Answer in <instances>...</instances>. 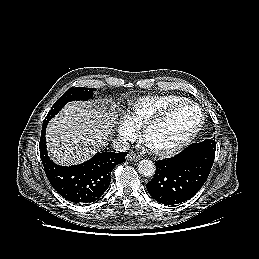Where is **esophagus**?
<instances>
[{
  "mask_svg": "<svg viewBox=\"0 0 259 259\" xmlns=\"http://www.w3.org/2000/svg\"><path fill=\"white\" fill-rule=\"evenodd\" d=\"M126 158L129 161H135V162H137L141 159V157L136 155L134 152L128 153Z\"/></svg>",
  "mask_w": 259,
  "mask_h": 259,
  "instance_id": "34e87169",
  "label": "esophagus"
}]
</instances>
